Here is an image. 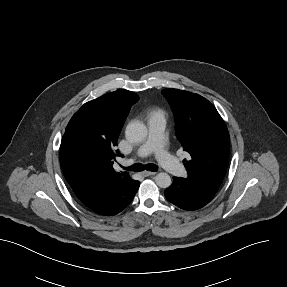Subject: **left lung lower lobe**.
Instances as JSON below:
<instances>
[{
    "mask_svg": "<svg viewBox=\"0 0 287 287\" xmlns=\"http://www.w3.org/2000/svg\"><path fill=\"white\" fill-rule=\"evenodd\" d=\"M216 194L201 184L185 178H173L172 185L165 190L166 199L184 210H197L208 204Z\"/></svg>",
    "mask_w": 287,
    "mask_h": 287,
    "instance_id": "0a47b994",
    "label": "left lung lower lobe"
}]
</instances>
